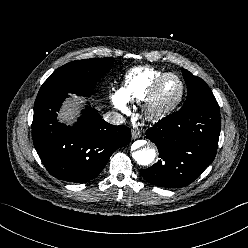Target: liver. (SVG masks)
<instances>
[{
	"instance_id": "6515ba94",
	"label": "liver",
	"mask_w": 248,
	"mask_h": 248,
	"mask_svg": "<svg viewBox=\"0 0 248 248\" xmlns=\"http://www.w3.org/2000/svg\"><path fill=\"white\" fill-rule=\"evenodd\" d=\"M74 101H67L64 104V107L62 111L59 114V119L61 122H65L67 124H70L75 120V117L77 116V113L79 111V104L81 102L80 98L73 96Z\"/></svg>"
}]
</instances>
